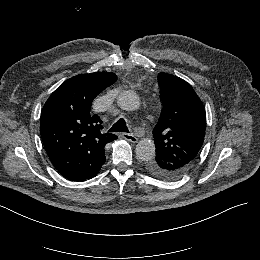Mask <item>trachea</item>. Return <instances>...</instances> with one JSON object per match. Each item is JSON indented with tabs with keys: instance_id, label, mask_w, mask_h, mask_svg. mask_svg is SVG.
<instances>
[{
	"instance_id": "3493384b",
	"label": "trachea",
	"mask_w": 260,
	"mask_h": 260,
	"mask_svg": "<svg viewBox=\"0 0 260 260\" xmlns=\"http://www.w3.org/2000/svg\"><path fill=\"white\" fill-rule=\"evenodd\" d=\"M109 132H128V127L123 118H120L110 129Z\"/></svg>"
}]
</instances>
